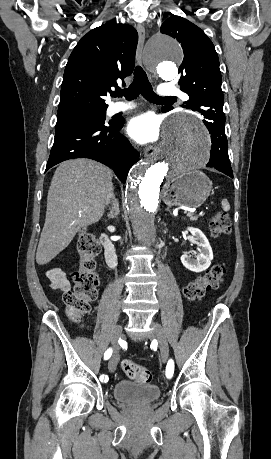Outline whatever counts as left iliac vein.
Here are the masks:
<instances>
[{
	"label": "left iliac vein",
	"mask_w": 271,
	"mask_h": 459,
	"mask_svg": "<svg viewBox=\"0 0 271 459\" xmlns=\"http://www.w3.org/2000/svg\"><path fill=\"white\" fill-rule=\"evenodd\" d=\"M153 329L150 331V336L155 337L159 342V349L161 358L163 361H167L169 358V345L166 334L163 327L157 322H152Z\"/></svg>",
	"instance_id": "left-iliac-vein-1"
}]
</instances>
